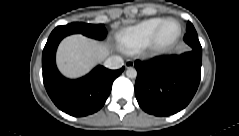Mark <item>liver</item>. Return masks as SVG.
Returning <instances> with one entry per match:
<instances>
[{
	"instance_id": "1",
	"label": "liver",
	"mask_w": 239,
	"mask_h": 136,
	"mask_svg": "<svg viewBox=\"0 0 239 136\" xmlns=\"http://www.w3.org/2000/svg\"><path fill=\"white\" fill-rule=\"evenodd\" d=\"M110 54V48L81 34L65 37L58 46L56 63L65 76L78 78L87 74Z\"/></svg>"
}]
</instances>
